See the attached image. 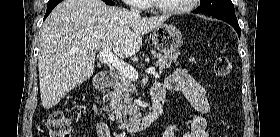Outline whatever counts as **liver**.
Instances as JSON below:
<instances>
[{"instance_id":"1","label":"liver","mask_w":280,"mask_h":137,"mask_svg":"<svg viewBox=\"0 0 280 137\" xmlns=\"http://www.w3.org/2000/svg\"><path fill=\"white\" fill-rule=\"evenodd\" d=\"M168 16L141 17L101 0H64L44 21L39 45L40 97L50 109L94 73L97 50L120 58L135 55L142 35Z\"/></svg>"}]
</instances>
